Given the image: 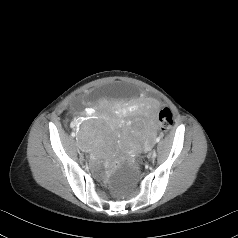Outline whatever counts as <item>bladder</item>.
Listing matches in <instances>:
<instances>
[{"instance_id": "bladder-1", "label": "bladder", "mask_w": 238, "mask_h": 238, "mask_svg": "<svg viewBox=\"0 0 238 238\" xmlns=\"http://www.w3.org/2000/svg\"><path fill=\"white\" fill-rule=\"evenodd\" d=\"M141 95V89L135 85L117 84L109 86L96 87L87 94L90 102L106 97L107 99H132Z\"/></svg>"}]
</instances>
